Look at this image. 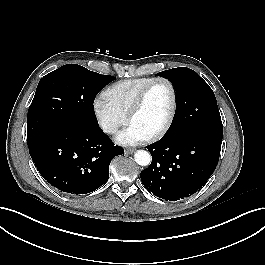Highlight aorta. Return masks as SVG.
I'll list each match as a JSON object with an SVG mask.
<instances>
[{
	"label": "aorta",
	"mask_w": 265,
	"mask_h": 265,
	"mask_svg": "<svg viewBox=\"0 0 265 265\" xmlns=\"http://www.w3.org/2000/svg\"><path fill=\"white\" fill-rule=\"evenodd\" d=\"M134 159L141 166H148L151 163V155L145 150H138L134 154Z\"/></svg>",
	"instance_id": "762f6f07"
}]
</instances>
